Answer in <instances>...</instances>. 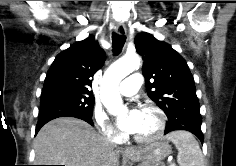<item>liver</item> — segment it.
Segmentation results:
<instances>
[{
    "mask_svg": "<svg viewBox=\"0 0 236 166\" xmlns=\"http://www.w3.org/2000/svg\"><path fill=\"white\" fill-rule=\"evenodd\" d=\"M36 165L118 166L119 150L85 121H50L34 140Z\"/></svg>",
    "mask_w": 236,
    "mask_h": 166,
    "instance_id": "1",
    "label": "liver"
}]
</instances>
